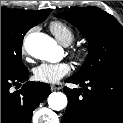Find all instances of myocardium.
Segmentation results:
<instances>
[{"instance_id":"myocardium-1","label":"myocardium","mask_w":123,"mask_h":123,"mask_svg":"<svg viewBox=\"0 0 123 123\" xmlns=\"http://www.w3.org/2000/svg\"><path fill=\"white\" fill-rule=\"evenodd\" d=\"M71 55L76 61L80 62L84 60L86 56V50L84 48H74L71 51Z\"/></svg>"}]
</instances>
